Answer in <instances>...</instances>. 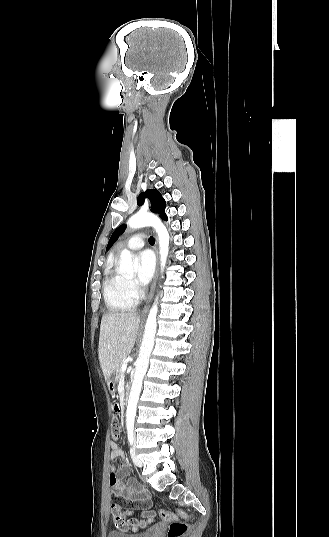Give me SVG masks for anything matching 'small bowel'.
<instances>
[{
	"mask_svg": "<svg viewBox=\"0 0 329 537\" xmlns=\"http://www.w3.org/2000/svg\"><path fill=\"white\" fill-rule=\"evenodd\" d=\"M112 412L117 414L123 409V404L119 399H116L112 405ZM110 454L112 459L123 457V451L117 443H110ZM128 466L122 463L120 466H111L109 475V483L113 487V493L110 495V500L113 505L128 506L130 502H138L144 509V516H149L150 512L147 507L149 504L148 492L140 487L134 479L127 478ZM137 526L138 527H142Z\"/></svg>",
	"mask_w": 329,
	"mask_h": 537,
	"instance_id": "c3829d8e",
	"label": "small bowel"
}]
</instances>
